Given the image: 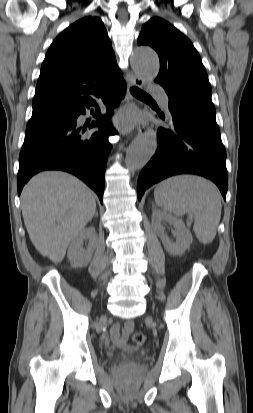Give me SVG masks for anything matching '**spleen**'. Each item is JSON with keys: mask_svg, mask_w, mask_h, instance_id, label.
Listing matches in <instances>:
<instances>
[{"mask_svg": "<svg viewBox=\"0 0 253 413\" xmlns=\"http://www.w3.org/2000/svg\"><path fill=\"white\" fill-rule=\"evenodd\" d=\"M156 203L169 213L194 216L193 230L203 244L211 243L221 218V196L217 187L200 176L179 175L158 184Z\"/></svg>", "mask_w": 253, "mask_h": 413, "instance_id": "spleen-1", "label": "spleen"}]
</instances>
